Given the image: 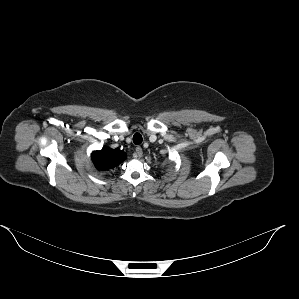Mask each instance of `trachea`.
Here are the masks:
<instances>
[{
  "label": "trachea",
  "instance_id": "obj_1",
  "mask_svg": "<svg viewBox=\"0 0 299 299\" xmlns=\"http://www.w3.org/2000/svg\"><path fill=\"white\" fill-rule=\"evenodd\" d=\"M133 142L136 145H139L142 143V135L140 133H135L133 136Z\"/></svg>",
  "mask_w": 299,
  "mask_h": 299
}]
</instances>
